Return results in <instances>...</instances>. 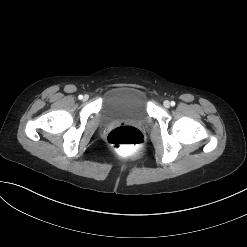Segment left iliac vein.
Segmentation results:
<instances>
[{"instance_id": "left-iliac-vein-1", "label": "left iliac vein", "mask_w": 247, "mask_h": 247, "mask_svg": "<svg viewBox=\"0 0 247 247\" xmlns=\"http://www.w3.org/2000/svg\"><path fill=\"white\" fill-rule=\"evenodd\" d=\"M163 105H164L165 108H169L170 107V102L168 100H165L163 102Z\"/></svg>"}]
</instances>
